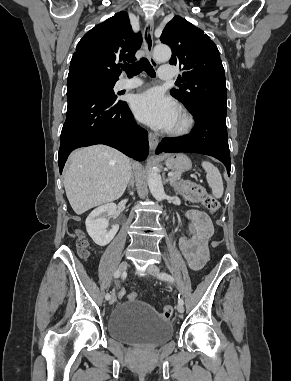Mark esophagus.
<instances>
[{
  "label": "esophagus",
  "instance_id": "obj_1",
  "mask_svg": "<svg viewBox=\"0 0 291 381\" xmlns=\"http://www.w3.org/2000/svg\"><path fill=\"white\" fill-rule=\"evenodd\" d=\"M153 30H154V20L150 19L145 25L143 32V42L146 48L147 56L150 64L153 67H157L158 63L153 57ZM158 137L153 133H149V147L151 151H154L158 145Z\"/></svg>",
  "mask_w": 291,
  "mask_h": 381
}]
</instances>
